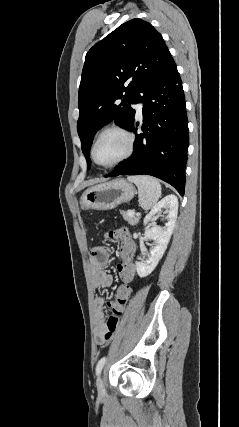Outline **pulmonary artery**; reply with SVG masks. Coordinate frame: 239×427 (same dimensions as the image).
Listing matches in <instances>:
<instances>
[{
	"label": "pulmonary artery",
	"mask_w": 239,
	"mask_h": 427,
	"mask_svg": "<svg viewBox=\"0 0 239 427\" xmlns=\"http://www.w3.org/2000/svg\"><path fill=\"white\" fill-rule=\"evenodd\" d=\"M142 107H143V104H142V103H139V104L137 105V109H138V111H139V112H141V111H142Z\"/></svg>",
	"instance_id": "1"
}]
</instances>
